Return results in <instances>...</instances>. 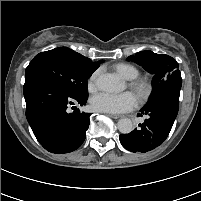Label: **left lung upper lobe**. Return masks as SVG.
Here are the masks:
<instances>
[{
    "mask_svg": "<svg viewBox=\"0 0 201 201\" xmlns=\"http://www.w3.org/2000/svg\"><path fill=\"white\" fill-rule=\"evenodd\" d=\"M127 60L136 62L154 75L149 103L167 93L180 95L182 78L179 65L174 58L146 50L129 56Z\"/></svg>",
    "mask_w": 201,
    "mask_h": 201,
    "instance_id": "obj_1",
    "label": "left lung upper lobe"
}]
</instances>
